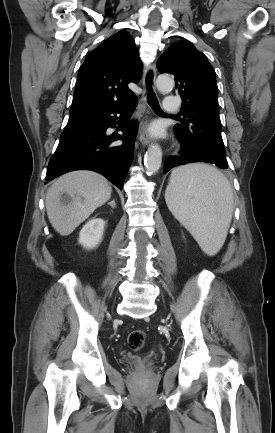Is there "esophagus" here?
Listing matches in <instances>:
<instances>
[{
    "mask_svg": "<svg viewBox=\"0 0 275 433\" xmlns=\"http://www.w3.org/2000/svg\"><path fill=\"white\" fill-rule=\"evenodd\" d=\"M156 79V65L150 64L143 75V95L142 104L146 106L147 97L150 89H155ZM138 139L142 145H148L150 143V135L148 132V120L144 118L140 124Z\"/></svg>",
    "mask_w": 275,
    "mask_h": 433,
    "instance_id": "1",
    "label": "esophagus"
}]
</instances>
